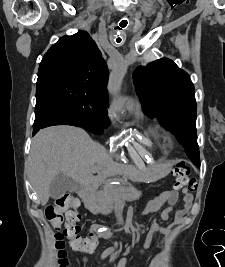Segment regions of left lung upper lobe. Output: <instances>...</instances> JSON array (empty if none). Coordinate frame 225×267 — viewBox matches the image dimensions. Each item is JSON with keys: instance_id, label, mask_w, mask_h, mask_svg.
I'll return each instance as SVG.
<instances>
[{"instance_id": "obj_1", "label": "left lung upper lobe", "mask_w": 225, "mask_h": 267, "mask_svg": "<svg viewBox=\"0 0 225 267\" xmlns=\"http://www.w3.org/2000/svg\"><path fill=\"white\" fill-rule=\"evenodd\" d=\"M133 81L144 112L157 117L183 145L189 159L200 166L195 90L190 76L163 58L137 67Z\"/></svg>"}]
</instances>
